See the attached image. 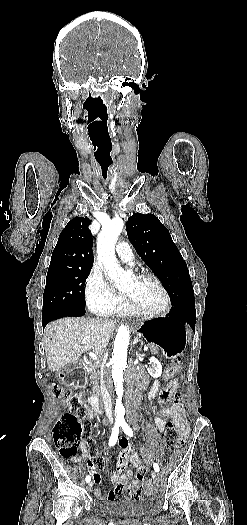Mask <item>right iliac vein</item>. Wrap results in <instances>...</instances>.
Segmentation results:
<instances>
[{
  "mask_svg": "<svg viewBox=\"0 0 247 525\" xmlns=\"http://www.w3.org/2000/svg\"><path fill=\"white\" fill-rule=\"evenodd\" d=\"M92 486H93V482H90V483H89V487H92Z\"/></svg>",
  "mask_w": 247,
  "mask_h": 525,
  "instance_id": "63e3f726",
  "label": "right iliac vein"
}]
</instances>
